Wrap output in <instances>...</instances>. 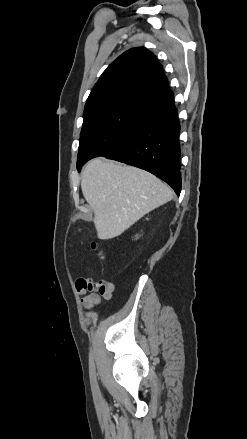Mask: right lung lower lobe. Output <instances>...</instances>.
I'll return each mask as SVG.
<instances>
[{"instance_id":"obj_1","label":"right lung lower lobe","mask_w":247,"mask_h":439,"mask_svg":"<svg viewBox=\"0 0 247 439\" xmlns=\"http://www.w3.org/2000/svg\"><path fill=\"white\" fill-rule=\"evenodd\" d=\"M180 125L174 101L157 109L123 142L102 156L117 160L156 175L181 192Z\"/></svg>"}]
</instances>
